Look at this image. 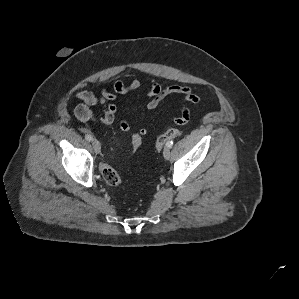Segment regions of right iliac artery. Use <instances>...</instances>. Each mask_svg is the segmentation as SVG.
<instances>
[{
  "instance_id": "1",
  "label": "right iliac artery",
  "mask_w": 299,
  "mask_h": 299,
  "mask_svg": "<svg viewBox=\"0 0 299 299\" xmlns=\"http://www.w3.org/2000/svg\"><path fill=\"white\" fill-rule=\"evenodd\" d=\"M85 139L87 140V141H92V136L91 135H89V134H87V135H85Z\"/></svg>"
}]
</instances>
